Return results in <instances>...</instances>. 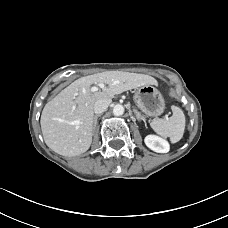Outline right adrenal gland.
Instances as JSON below:
<instances>
[{"label": "right adrenal gland", "mask_w": 228, "mask_h": 228, "mask_svg": "<svg viewBox=\"0 0 228 228\" xmlns=\"http://www.w3.org/2000/svg\"><path fill=\"white\" fill-rule=\"evenodd\" d=\"M101 116V114H97V115H95L94 116V122H93V128H95L96 127V125L98 124V117H100Z\"/></svg>", "instance_id": "2a0ac1e0"}]
</instances>
